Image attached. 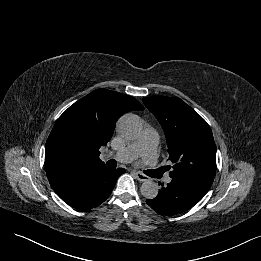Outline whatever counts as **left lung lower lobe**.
Instances as JSON below:
<instances>
[{"mask_svg": "<svg viewBox=\"0 0 261 261\" xmlns=\"http://www.w3.org/2000/svg\"><path fill=\"white\" fill-rule=\"evenodd\" d=\"M161 185L159 194L146 202L158 214L172 216L197 204L212 184L191 177H181L172 178L167 186Z\"/></svg>", "mask_w": 261, "mask_h": 261, "instance_id": "0a47b994", "label": "left lung lower lobe"}]
</instances>
